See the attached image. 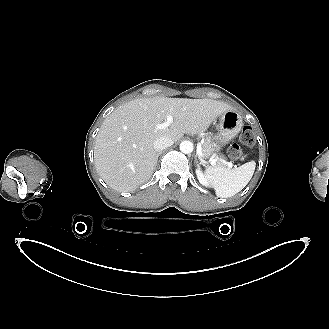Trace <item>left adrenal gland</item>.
<instances>
[{"label": "left adrenal gland", "mask_w": 329, "mask_h": 329, "mask_svg": "<svg viewBox=\"0 0 329 329\" xmlns=\"http://www.w3.org/2000/svg\"><path fill=\"white\" fill-rule=\"evenodd\" d=\"M195 163H196L197 166H199V164H200L198 159H197V156H195Z\"/></svg>", "instance_id": "a2214340"}]
</instances>
